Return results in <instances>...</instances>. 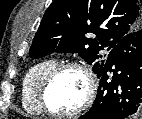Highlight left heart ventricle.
<instances>
[{
	"mask_svg": "<svg viewBox=\"0 0 142 119\" xmlns=\"http://www.w3.org/2000/svg\"><path fill=\"white\" fill-rule=\"evenodd\" d=\"M86 82L80 71L67 69L57 75L48 91V103L59 112L76 109L83 101Z\"/></svg>",
	"mask_w": 142,
	"mask_h": 119,
	"instance_id": "b2bd125f",
	"label": "left heart ventricle"
}]
</instances>
